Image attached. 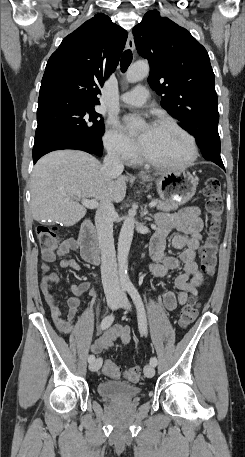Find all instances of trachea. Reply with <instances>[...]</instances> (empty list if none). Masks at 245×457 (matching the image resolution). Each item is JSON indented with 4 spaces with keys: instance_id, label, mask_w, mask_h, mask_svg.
I'll return each mask as SVG.
<instances>
[{
    "instance_id": "obj_1",
    "label": "trachea",
    "mask_w": 245,
    "mask_h": 457,
    "mask_svg": "<svg viewBox=\"0 0 245 457\" xmlns=\"http://www.w3.org/2000/svg\"><path fill=\"white\" fill-rule=\"evenodd\" d=\"M132 62L131 50H125L121 57V71L125 72Z\"/></svg>"
}]
</instances>
